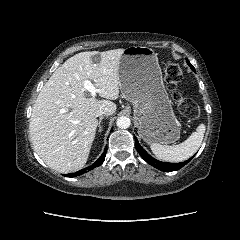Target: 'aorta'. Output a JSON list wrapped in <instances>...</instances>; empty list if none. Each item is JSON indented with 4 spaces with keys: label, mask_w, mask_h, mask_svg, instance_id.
I'll return each instance as SVG.
<instances>
[{
    "label": "aorta",
    "mask_w": 240,
    "mask_h": 240,
    "mask_svg": "<svg viewBox=\"0 0 240 240\" xmlns=\"http://www.w3.org/2000/svg\"><path fill=\"white\" fill-rule=\"evenodd\" d=\"M131 120L127 116H121L117 119L116 125L120 129H127L130 127Z\"/></svg>",
    "instance_id": "obj_1"
}]
</instances>
